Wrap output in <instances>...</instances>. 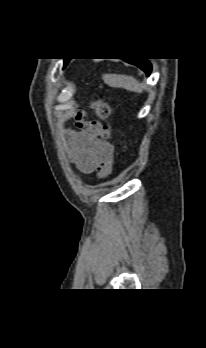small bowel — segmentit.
Returning a JSON list of instances; mask_svg holds the SVG:
<instances>
[{"label": "small bowel", "mask_w": 206, "mask_h": 348, "mask_svg": "<svg viewBox=\"0 0 206 348\" xmlns=\"http://www.w3.org/2000/svg\"><path fill=\"white\" fill-rule=\"evenodd\" d=\"M70 156L83 173L96 172L99 177H107L112 170L114 147L87 133L69 131Z\"/></svg>", "instance_id": "1"}]
</instances>
